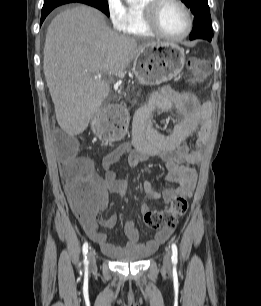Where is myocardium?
<instances>
[{"label": "myocardium", "instance_id": "f54148a6", "mask_svg": "<svg viewBox=\"0 0 261 306\" xmlns=\"http://www.w3.org/2000/svg\"><path fill=\"white\" fill-rule=\"evenodd\" d=\"M166 2H173L177 4L184 12L187 20V27L185 32L180 36H171L166 34L159 26L157 20V14L160 7ZM145 21L147 26L153 31L157 36L164 38L169 41H181L189 36L193 27L192 14L188 6L182 0H149L143 6Z\"/></svg>", "mask_w": 261, "mask_h": 306}]
</instances>
